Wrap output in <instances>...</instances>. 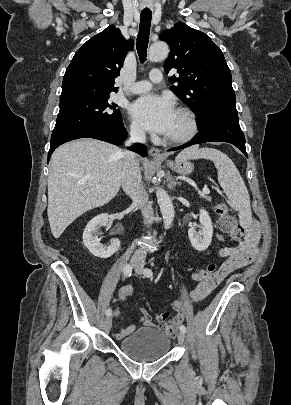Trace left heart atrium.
<instances>
[{"label": "left heart atrium", "instance_id": "1", "mask_svg": "<svg viewBox=\"0 0 291 405\" xmlns=\"http://www.w3.org/2000/svg\"><path fill=\"white\" fill-rule=\"evenodd\" d=\"M129 112L144 129L167 134L172 126L176 110L170 98L147 94L137 99L130 106Z\"/></svg>", "mask_w": 291, "mask_h": 405}]
</instances>
